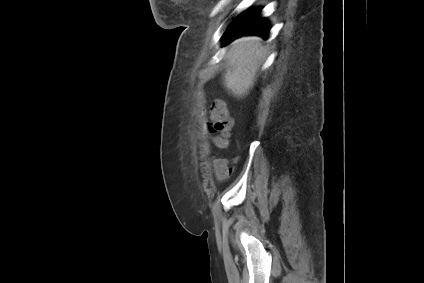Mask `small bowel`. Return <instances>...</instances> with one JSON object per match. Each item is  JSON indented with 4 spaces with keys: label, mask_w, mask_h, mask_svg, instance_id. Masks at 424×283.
Returning <instances> with one entry per match:
<instances>
[{
    "label": "small bowel",
    "mask_w": 424,
    "mask_h": 283,
    "mask_svg": "<svg viewBox=\"0 0 424 283\" xmlns=\"http://www.w3.org/2000/svg\"><path fill=\"white\" fill-rule=\"evenodd\" d=\"M237 158L234 159L236 161ZM213 171L218 181H225L234 172V168L229 166V161L225 158H216L212 162Z\"/></svg>",
    "instance_id": "1"
}]
</instances>
